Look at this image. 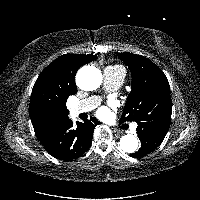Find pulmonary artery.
<instances>
[{
	"label": "pulmonary artery",
	"mask_w": 200,
	"mask_h": 200,
	"mask_svg": "<svg viewBox=\"0 0 200 200\" xmlns=\"http://www.w3.org/2000/svg\"><path fill=\"white\" fill-rule=\"evenodd\" d=\"M124 81V74L110 68L104 70V87L108 91H114L121 87ZM99 103V98L89 97L85 100L76 102L72 105L71 111L73 114L78 115L91 111ZM137 125L134 124L133 128Z\"/></svg>",
	"instance_id": "1"
}]
</instances>
